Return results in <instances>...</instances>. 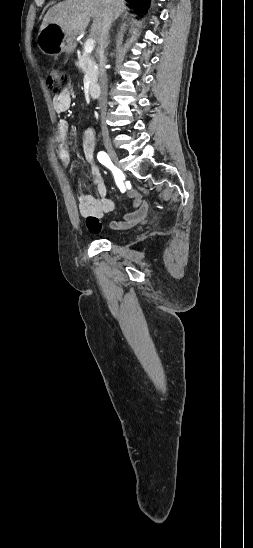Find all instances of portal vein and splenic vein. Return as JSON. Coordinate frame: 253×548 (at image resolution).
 Masks as SVG:
<instances>
[{
  "label": "portal vein and splenic vein",
  "mask_w": 253,
  "mask_h": 548,
  "mask_svg": "<svg viewBox=\"0 0 253 548\" xmlns=\"http://www.w3.org/2000/svg\"><path fill=\"white\" fill-rule=\"evenodd\" d=\"M95 47V41L93 39H88L86 42H85V46H84V52L85 54H91L93 49Z\"/></svg>",
  "instance_id": "1"
}]
</instances>
